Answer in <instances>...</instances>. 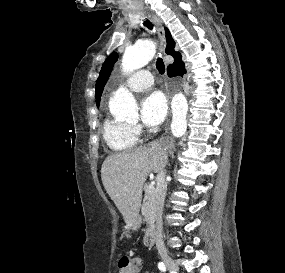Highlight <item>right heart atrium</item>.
Returning a JSON list of instances; mask_svg holds the SVG:
<instances>
[{
    "label": "right heart atrium",
    "instance_id": "d8ad5b80",
    "mask_svg": "<svg viewBox=\"0 0 285 273\" xmlns=\"http://www.w3.org/2000/svg\"><path fill=\"white\" fill-rule=\"evenodd\" d=\"M133 127V130L136 132V133H139L140 132V127L138 125H134L132 126Z\"/></svg>",
    "mask_w": 285,
    "mask_h": 273
}]
</instances>
